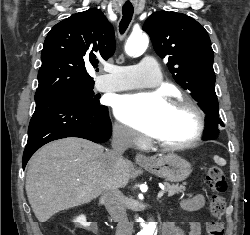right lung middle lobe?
Returning <instances> with one entry per match:
<instances>
[{
    "instance_id": "1",
    "label": "right lung middle lobe",
    "mask_w": 250,
    "mask_h": 235,
    "mask_svg": "<svg viewBox=\"0 0 250 235\" xmlns=\"http://www.w3.org/2000/svg\"><path fill=\"white\" fill-rule=\"evenodd\" d=\"M39 99H70V100H78L85 102L89 105L92 106H98L100 103L98 100H96V97L94 96L93 92V86L84 88V89H79V90H73V91H68V92H63V93H57V94H52L48 95ZM35 98V101L39 100Z\"/></svg>"
}]
</instances>
